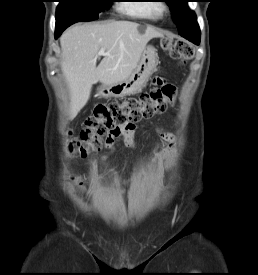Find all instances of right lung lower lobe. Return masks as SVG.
Instances as JSON below:
<instances>
[{
  "mask_svg": "<svg viewBox=\"0 0 258 275\" xmlns=\"http://www.w3.org/2000/svg\"><path fill=\"white\" fill-rule=\"evenodd\" d=\"M74 23H76V22H74V21L56 22L55 38L57 39L67 27H69L70 25H72Z\"/></svg>",
  "mask_w": 258,
  "mask_h": 275,
  "instance_id": "obj_1",
  "label": "right lung lower lobe"
}]
</instances>
